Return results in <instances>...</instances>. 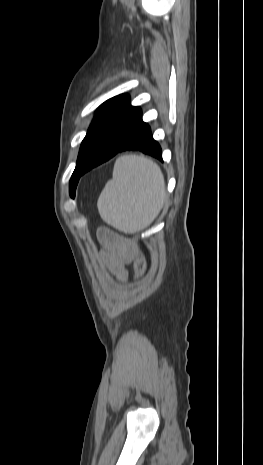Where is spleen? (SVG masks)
Listing matches in <instances>:
<instances>
[{"mask_svg":"<svg viewBox=\"0 0 263 465\" xmlns=\"http://www.w3.org/2000/svg\"><path fill=\"white\" fill-rule=\"evenodd\" d=\"M160 168L137 155L118 158L97 202L103 221L124 233L147 227L159 214L165 199Z\"/></svg>","mask_w":263,"mask_h":465,"instance_id":"spleen-1","label":"spleen"}]
</instances>
